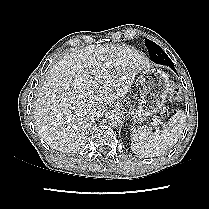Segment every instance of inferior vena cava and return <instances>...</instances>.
Listing matches in <instances>:
<instances>
[{
  "label": "inferior vena cava",
  "mask_w": 209,
  "mask_h": 209,
  "mask_svg": "<svg viewBox=\"0 0 209 209\" xmlns=\"http://www.w3.org/2000/svg\"><path fill=\"white\" fill-rule=\"evenodd\" d=\"M94 116L96 117V116H98V112L96 111V112H94Z\"/></svg>",
  "instance_id": "inferior-vena-cava-1"
}]
</instances>
